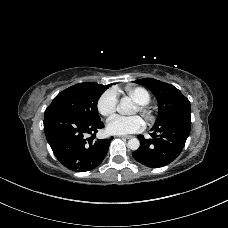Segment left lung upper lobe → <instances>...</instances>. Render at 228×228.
Returning a JSON list of instances; mask_svg holds the SVG:
<instances>
[{
	"instance_id": "obj_1",
	"label": "left lung upper lobe",
	"mask_w": 228,
	"mask_h": 228,
	"mask_svg": "<svg viewBox=\"0 0 228 228\" xmlns=\"http://www.w3.org/2000/svg\"><path fill=\"white\" fill-rule=\"evenodd\" d=\"M134 82L150 89L157 98L159 116L154 126H158L167 119L182 112H190L189 100L173 85L153 78L138 79ZM174 120L177 127L182 126V120L179 117H175Z\"/></svg>"
}]
</instances>
